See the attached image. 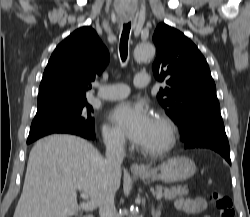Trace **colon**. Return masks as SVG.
<instances>
[{
    "mask_svg": "<svg viewBox=\"0 0 250 217\" xmlns=\"http://www.w3.org/2000/svg\"><path fill=\"white\" fill-rule=\"evenodd\" d=\"M212 200L218 211L219 217H234L235 212L231 198L222 191H214Z\"/></svg>",
    "mask_w": 250,
    "mask_h": 217,
    "instance_id": "1",
    "label": "colon"
}]
</instances>
